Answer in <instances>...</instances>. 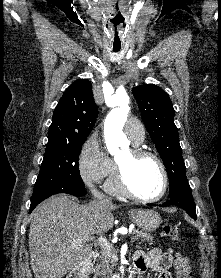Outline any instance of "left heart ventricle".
Returning <instances> with one entry per match:
<instances>
[{"instance_id":"obj_1","label":"left heart ventricle","mask_w":221,"mask_h":278,"mask_svg":"<svg viewBox=\"0 0 221 278\" xmlns=\"http://www.w3.org/2000/svg\"><path fill=\"white\" fill-rule=\"evenodd\" d=\"M116 161L125 168L127 179L137 194L153 197L160 193L163 178L155 160L149 157L134 159L130 149H125L116 155Z\"/></svg>"}]
</instances>
